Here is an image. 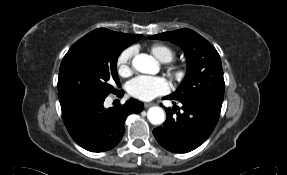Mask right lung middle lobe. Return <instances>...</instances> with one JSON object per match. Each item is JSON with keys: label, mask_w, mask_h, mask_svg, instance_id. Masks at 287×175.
Segmentation results:
<instances>
[{"label": "right lung middle lobe", "mask_w": 287, "mask_h": 175, "mask_svg": "<svg viewBox=\"0 0 287 175\" xmlns=\"http://www.w3.org/2000/svg\"><path fill=\"white\" fill-rule=\"evenodd\" d=\"M141 37L130 39L94 30L73 44L59 70L60 103L74 97L104 98L110 93L117 94V58Z\"/></svg>", "instance_id": "obj_1"}]
</instances>
